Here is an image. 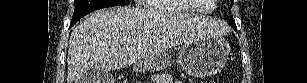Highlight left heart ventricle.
<instances>
[{
    "label": "left heart ventricle",
    "mask_w": 307,
    "mask_h": 83,
    "mask_svg": "<svg viewBox=\"0 0 307 83\" xmlns=\"http://www.w3.org/2000/svg\"><path fill=\"white\" fill-rule=\"evenodd\" d=\"M201 2V1H200ZM203 3H209L208 1L207 2H203ZM202 10H209L211 8V5L210 4H204V5H201L200 7Z\"/></svg>",
    "instance_id": "1"
}]
</instances>
